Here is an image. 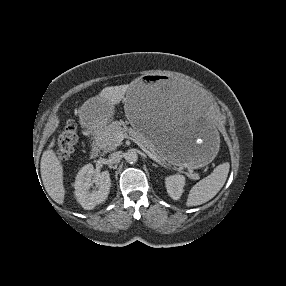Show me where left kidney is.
Segmentation results:
<instances>
[{"label":"left kidney","instance_id":"left-kidney-1","mask_svg":"<svg viewBox=\"0 0 286 286\" xmlns=\"http://www.w3.org/2000/svg\"><path fill=\"white\" fill-rule=\"evenodd\" d=\"M166 189L169 196L178 200L182 193L185 185V177L183 175H172L165 179Z\"/></svg>","mask_w":286,"mask_h":286}]
</instances>
